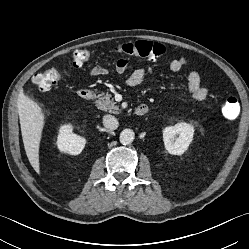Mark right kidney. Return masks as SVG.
I'll return each instance as SVG.
<instances>
[{"label": "right kidney", "mask_w": 249, "mask_h": 249, "mask_svg": "<svg viewBox=\"0 0 249 249\" xmlns=\"http://www.w3.org/2000/svg\"><path fill=\"white\" fill-rule=\"evenodd\" d=\"M86 139L72 133L71 125H64L60 128L57 139L58 149L62 152L78 155L85 147Z\"/></svg>", "instance_id": "ca27d5eb"}]
</instances>
